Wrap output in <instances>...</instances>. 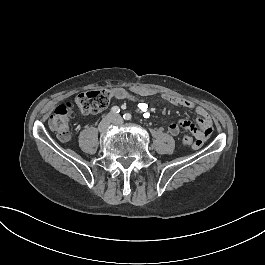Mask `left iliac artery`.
Here are the masks:
<instances>
[{
	"label": "left iliac artery",
	"instance_id": "obj_1",
	"mask_svg": "<svg viewBox=\"0 0 265 265\" xmlns=\"http://www.w3.org/2000/svg\"><path fill=\"white\" fill-rule=\"evenodd\" d=\"M123 118H124L125 120H131V119H132V116H131V114H129V113H125V114L123 115Z\"/></svg>",
	"mask_w": 265,
	"mask_h": 265
}]
</instances>
